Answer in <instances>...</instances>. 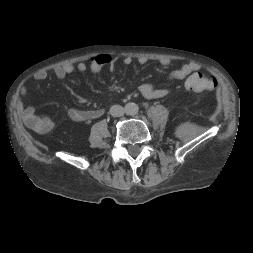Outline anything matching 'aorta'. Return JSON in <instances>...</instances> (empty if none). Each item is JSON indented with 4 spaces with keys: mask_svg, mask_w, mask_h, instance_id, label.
<instances>
[{
    "mask_svg": "<svg viewBox=\"0 0 253 253\" xmlns=\"http://www.w3.org/2000/svg\"><path fill=\"white\" fill-rule=\"evenodd\" d=\"M138 105L132 102H129L125 105V112L128 115H135L138 113Z\"/></svg>",
    "mask_w": 253,
    "mask_h": 253,
    "instance_id": "1",
    "label": "aorta"
}]
</instances>
